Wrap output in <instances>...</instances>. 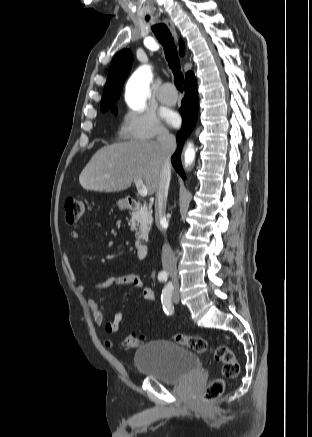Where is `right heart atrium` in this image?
<instances>
[{
	"mask_svg": "<svg viewBox=\"0 0 312 437\" xmlns=\"http://www.w3.org/2000/svg\"><path fill=\"white\" fill-rule=\"evenodd\" d=\"M118 135L123 140L148 141L167 138L169 133L152 111H128L123 114Z\"/></svg>",
	"mask_w": 312,
	"mask_h": 437,
	"instance_id": "obj_1",
	"label": "right heart atrium"
}]
</instances>
